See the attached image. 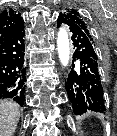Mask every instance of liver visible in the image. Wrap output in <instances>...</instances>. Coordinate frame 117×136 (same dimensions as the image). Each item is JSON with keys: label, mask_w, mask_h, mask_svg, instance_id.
<instances>
[{"label": "liver", "mask_w": 117, "mask_h": 136, "mask_svg": "<svg viewBox=\"0 0 117 136\" xmlns=\"http://www.w3.org/2000/svg\"><path fill=\"white\" fill-rule=\"evenodd\" d=\"M19 105L0 99V136H13L19 121Z\"/></svg>", "instance_id": "1"}]
</instances>
